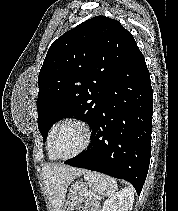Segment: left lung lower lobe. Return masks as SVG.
Returning <instances> with one entry per match:
<instances>
[{"instance_id":"left-lung-lower-lobe-1","label":"left lung lower lobe","mask_w":178,"mask_h":211,"mask_svg":"<svg viewBox=\"0 0 178 211\" xmlns=\"http://www.w3.org/2000/svg\"><path fill=\"white\" fill-rule=\"evenodd\" d=\"M153 91L137 47L109 85L86 151L65 164L129 181L140 194L151 156Z\"/></svg>"}]
</instances>
